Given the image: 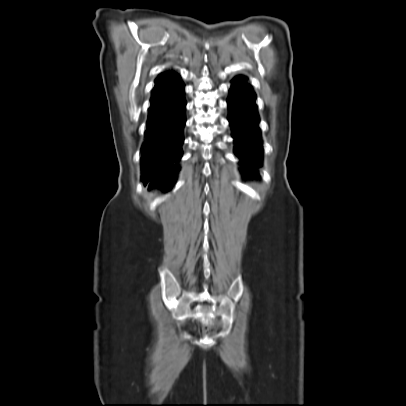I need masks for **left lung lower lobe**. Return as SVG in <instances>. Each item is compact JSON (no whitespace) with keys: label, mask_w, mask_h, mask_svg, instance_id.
<instances>
[{"label":"left lung lower lobe","mask_w":406,"mask_h":406,"mask_svg":"<svg viewBox=\"0 0 406 406\" xmlns=\"http://www.w3.org/2000/svg\"><path fill=\"white\" fill-rule=\"evenodd\" d=\"M227 104L235 153L240 164L249 168L242 172L245 176H255L258 174L256 169L261 165L262 143L255 94L244 77H237L232 81Z\"/></svg>","instance_id":"1"}]
</instances>
